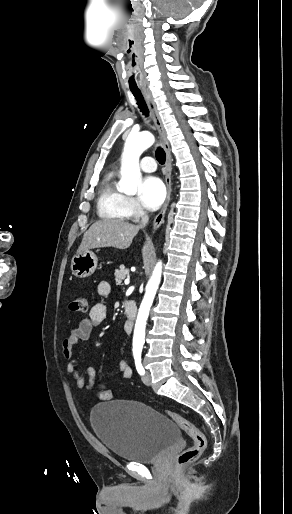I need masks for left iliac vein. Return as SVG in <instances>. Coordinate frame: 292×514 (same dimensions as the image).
Masks as SVG:
<instances>
[{
  "label": "left iliac vein",
  "mask_w": 292,
  "mask_h": 514,
  "mask_svg": "<svg viewBox=\"0 0 292 514\" xmlns=\"http://www.w3.org/2000/svg\"><path fill=\"white\" fill-rule=\"evenodd\" d=\"M142 381L147 386L151 385V374L149 371H146V373L142 376Z\"/></svg>",
  "instance_id": "left-iliac-vein-1"
}]
</instances>
